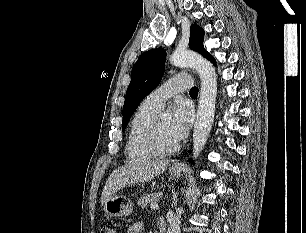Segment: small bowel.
Returning a JSON list of instances; mask_svg holds the SVG:
<instances>
[{"mask_svg":"<svg viewBox=\"0 0 306 233\" xmlns=\"http://www.w3.org/2000/svg\"><path fill=\"white\" fill-rule=\"evenodd\" d=\"M143 225L141 222H137L129 227L127 233H141Z\"/></svg>","mask_w":306,"mask_h":233,"instance_id":"small-bowel-1","label":"small bowel"}]
</instances>
